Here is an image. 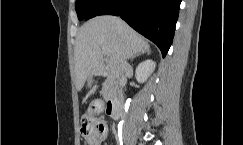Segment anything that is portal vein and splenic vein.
Wrapping results in <instances>:
<instances>
[{
	"mask_svg": "<svg viewBox=\"0 0 243 145\" xmlns=\"http://www.w3.org/2000/svg\"><path fill=\"white\" fill-rule=\"evenodd\" d=\"M103 53L107 56L111 55L110 51L108 49H105V48H103Z\"/></svg>",
	"mask_w": 243,
	"mask_h": 145,
	"instance_id": "18ae733b",
	"label": "portal vein and splenic vein"
}]
</instances>
